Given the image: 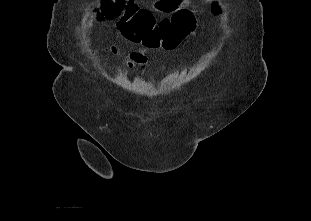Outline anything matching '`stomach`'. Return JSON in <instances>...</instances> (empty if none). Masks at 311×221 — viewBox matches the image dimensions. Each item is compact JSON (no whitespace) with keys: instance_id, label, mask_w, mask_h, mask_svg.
<instances>
[{"instance_id":"1","label":"stomach","mask_w":311,"mask_h":221,"mask_svg":"<svg viewBox=\"0 0 311 221\" xmlns=\"http://www.w3.org/2000/svg\"><path fill=\"white\" fill-rule=\"evenodd\" d=\"M161 4H172L170 8H178V6L182 4V0H171V2H168V0H154L156 10H163V8H161Z\"/></svg>"}]
</instances>
